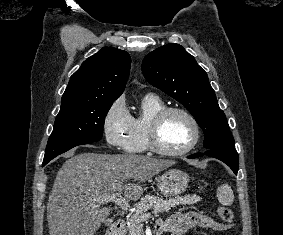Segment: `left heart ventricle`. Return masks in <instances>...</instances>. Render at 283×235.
Segmentation results:
<instances>
[{"instance_id":"1","label":"left heart ventricle","mask_w":283,"mask_h":235,"mask_svg":"<svg viewBox=\"0 0 283 235\" xmlns=\"http://www.w3.org/2000/svg\"><path fill=\"white\" fill-rule=\"evenodd\" d=\"M193 137L189 120L180 113H171L162 122L158 142L166 150L176 151L187 146Z\"/></svg>"}]
</instances>
